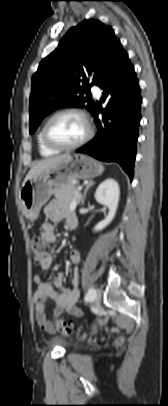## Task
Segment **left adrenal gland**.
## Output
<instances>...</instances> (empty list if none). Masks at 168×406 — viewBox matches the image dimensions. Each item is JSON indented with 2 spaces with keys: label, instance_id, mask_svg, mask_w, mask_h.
<instances>
[{
  "label": "left adrenal gland",
  "instance_id": "left-adrenal-gland-1",
  "mask_svg": "<svg viewBox=\"0 0 168 406\" xmlns=\"http://www.w3.org/2000/svg\"><path fill=\"white\" fill-rule=\"evenodd\" d=\"M94 183H95V182H94L93 180H90V181L88 182V184L86 185V188H85V190H84L83 196H82V198H81V204H82V205L84 204V201H85V198H86V194H87V192H88V189H89L91 186H93Z\"/></svg>",
  "mask_w": 168,
  "mask_h": 406
}]
</instances>
